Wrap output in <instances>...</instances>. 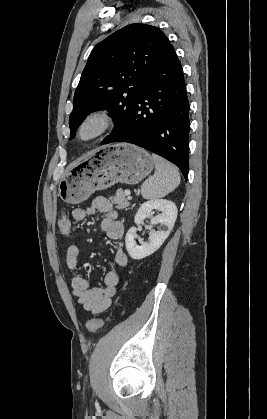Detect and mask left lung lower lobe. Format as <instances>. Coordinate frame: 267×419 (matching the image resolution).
Wrapping results in <instances>:
<instances>
[{
  "label": "left lung lower lobe",
  "instance_id": "obj_1",
  "mask_svg": "<svg viewBox=\"0 0 267 419\" xmlns=\"http://www.w3.org/2000/svg\"><path fill=\"white\" fill-rule=\"evenodd\" d=\"M189 101L183 69L172 45L146 79L130 113L102 143L128 142L154 152L188 177Z\"/></svg>",
  "mask_w": 267,
  "mask_h": 419
}]
</instances>
